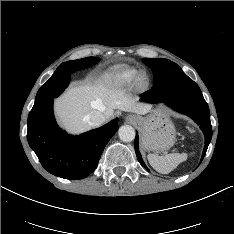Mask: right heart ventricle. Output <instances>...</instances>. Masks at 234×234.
I'll return each instance as SVG.
<instances>
[{"instance_id": "e07e8e85", "label": "right heart ventricle", "mask_w": 234, "mask_h": 234, "mask_svg": "<svg viewBox=\"0 0 234 234\" xmlns=\"http://www.w3.org/2000/svg\"><path fill=\"white\" fill-rule=\"evenodd\" d=\"M138 72L135 67H119L108 74V82L115 87H125L133 82V79Z\"/></svg>"}]
</instances>
